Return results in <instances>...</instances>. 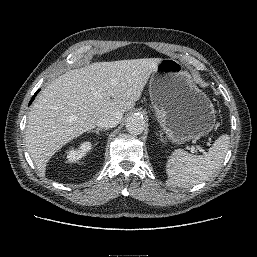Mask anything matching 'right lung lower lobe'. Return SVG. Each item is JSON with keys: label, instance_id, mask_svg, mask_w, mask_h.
Wrapping results in <instances>:
<instances>
[{"label": "right lung lower lobe", "instance_id": "1", "mask_svg": "<svg viewBox=\"0 0 257 257\" xmlns=\"http://www.w3.org/2000/svg\"><path fill=\"white\" fill-rule=\"evenodd\" d=\"M39 92V90L34 94V96L32 97L30 104L32 103V101L34 100L35 96L37 95V93Z\"/></svg>", "mask_w": 257, "mask_h": 257}]
</instances>
